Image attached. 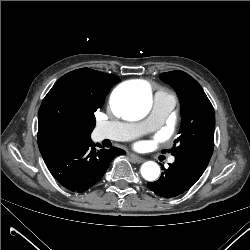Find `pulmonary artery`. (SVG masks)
Instances as JSON below:
<instances>
[{
  "label": "pulmonary artery",
  "instance_id": "pulmonary-artery-1",
  "mask_svg": "<svg viewBox=\"0 0 250 250\" xmlns=\"http://www.w3.org/2000/svg\"><path fill=\"white\" fill-rule=\"evenodd\" d=\"M175 99L167 94L157 92L154 96L153 107L147 119L138 123L104 122L97 128V138L99 140L111 139L127 141L143 133L152 131L160 127L175 106ZM175 159L171 157L170 163Z\"/></svg>",
  "mask_w": 250,
  "mask_h": 250
}]
</instances>
